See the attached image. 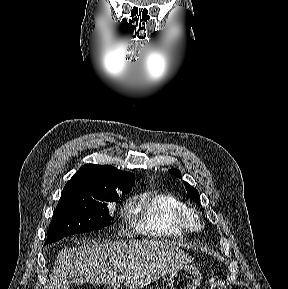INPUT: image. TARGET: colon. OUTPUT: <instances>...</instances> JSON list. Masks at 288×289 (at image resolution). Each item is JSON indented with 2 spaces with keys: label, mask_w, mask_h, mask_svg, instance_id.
I'll use <instances>...</instances> for the list:
<instances>
[{
  "label": "colon",
  "mask_w": 288,
  "mask_h": 289,
  "mask_svg": "<svg viewBox=\"0 0 288 289\" xmlns=\"http://www.w3.org/2000/svg\"><path fill=\"white\" fill-rule=\"evenodd\" d=\"M208 289H230L229 284L220 278L211 277L208 280Z\"/></svg>",
  "instance_id": "5ec220e1"
}]
</instances>
